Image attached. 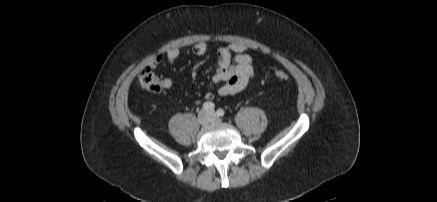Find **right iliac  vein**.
I'll return each mask as SVG.
<instances>
[{"instance_id": "right-iliac-vein-1", "label": "right iliac vein", "mask_w": 437, "mask_h": 202, "mask_svg": "<svg viewBox=\"0 0 437 202\" xmlns=\"http://www.w3.org/2000/svg\"><path fill=\"white\" fill-rule=\"evenodd\" d=\"M211 121V116L206 110H201L198 114V122L201 125H208Z\"/></svg>"}]
</instances>
